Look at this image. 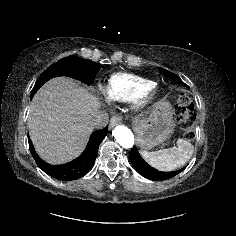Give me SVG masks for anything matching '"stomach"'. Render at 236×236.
I'll list each match as a JSON object with an SVG mask.
<instances>
[{
  "label": "stomach",
  "instance_id": "1",
  "mask_svg": "<svg viewBox=\"0 0 236 236\" xmlns=\"http://www.w3.org/2000/svg\"><path fill=\"white\" fill-rule=\"evenodd\" d=\"M174 126L172 107L162 99L155 103L148 118L134 121L137 144L144 150L162 144L171 137Z\"/></svg>",
  "mask_w": 236,
  "mask_h": 236
}]
</instances>
